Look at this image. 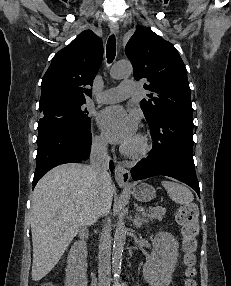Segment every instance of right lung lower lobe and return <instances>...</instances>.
<instances>
[{"instance_id":"1","label":"right lung lower lobe","mask_w":231,"mask_h":286,"mask_svg":"<svg viewBox=\"0 0 231 286\" xmlns=\"http://www.w3.org/2000/svg\"><path fill=\"white\" fill-rule=\"evenodd\" d=\"M38 151L33 186L53 167L64 163H79L88 158L91 147L90 126L60 127L37 138ZM113 170V162H110Z\"/></svg>"}]
</instances>
